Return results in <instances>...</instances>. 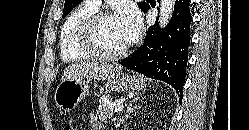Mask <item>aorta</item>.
<instances>
[{"label":"aorta","instance_id":"1","mask_svg":"<svg viewBox=\"0 0 249 130\" xmlns=\"http://www.w3.org/2000/svg\"><path fill=\"white\" fill-rule=\"evenodd\" d=\"M175 0H161L160 2V28H164L172 17Z\"/></svg>","mask_w":249,"mask_h":130}]
</instances>
